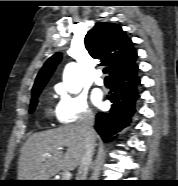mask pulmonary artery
Segmentation results:
<instances>
[{
  "label": "pulmonary artery",
  "instance_id": "obj_1",
  "mask_svg": "<svg viewBox=\"0 0 178 186\" xmlns=\"http://www.w3.org/2000/svg\"><path fill=\"white\" fill-rule=\"evenodd\" d=\"M95 83L97 85H103V83H104V80L101 77V72L100 71H97L96 74H95Z\"/></svg>",
  "mask_w": 178,
  "mask_h": 186
}]
</instances>
